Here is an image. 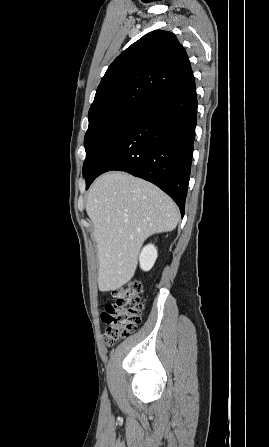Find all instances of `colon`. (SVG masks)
I'll use <instances>...</instances> for the list:
<instances>
[{"mask_svg":"<svg viewBox=\"0 0 269 447\" xmlns=\"http://www.w3.org/2000/svg\"><path fill=\"white\" fill-rule=\"evenodd\" d=\"M143 293L144 287L137 280L112 291L113 301L102 312V320L106 324L104 335L110 346L130 335L141 324L145 309Z\"/></svg>","mask_w":269,"mask_h":447,"instance_id":"colon-1","label":"colon"}]
</instances>
